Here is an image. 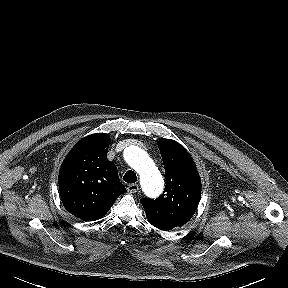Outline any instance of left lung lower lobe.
Returning <instances> with one entry per match:
<instances>
[{"label": "left lung lower lobe", "instance_id": "obj_1", "mask_svg": "<svg viewBox=\"0 0 288 288\" xmlns=\"http://www.w3.org/2000/svg\"><path fill=\"white\" fill-rule=\"evenodd\" d=\"M150 223H151L153 226H155L156 228H158V229H161V230H168L167 228L160 227V226L156 225V224H155L154 222H152V221H150Z\"/></svg>", "mask_w": 288, "mask_h": 288}]
</instances>
